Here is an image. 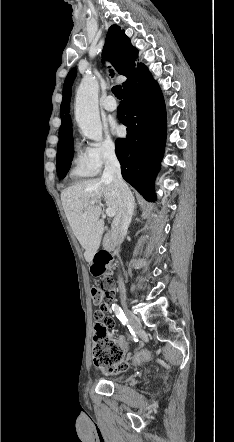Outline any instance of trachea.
I'll return each mask as SVG.
<instances>
[{
	"mask_svg": "<svg viewBox=\"0 0 234 442\" xmlns=\"http://www.w3.org/2000/svg\"><path fill=\"white\" fill-rule=\"evenodd\" d=\"M114 73L111 71V76H113ZM112 93L118 98V99H122L123 95H122V87L120 85H116L112 87Z\"/></svg>",
	"mask_w": 234,
	"mask_h": 442,
	"instance_id": "obj_1",
	"label": "trachea"
}]
</instances>
